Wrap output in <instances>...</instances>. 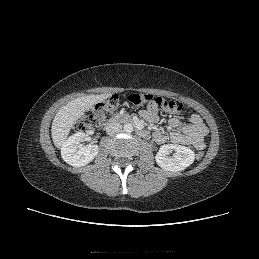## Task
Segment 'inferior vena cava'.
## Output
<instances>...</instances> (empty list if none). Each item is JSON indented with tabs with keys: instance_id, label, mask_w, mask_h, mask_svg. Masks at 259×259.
Masks as SVG:
<instances>
[{
	"instance_id": "obj_1",
	"label": "inferior vena cava",
	"mask_w": 259,
	"mask_h": 259,
	"mask_svg": "<svg viewBox=\"0 0 259 259\" xmlns=\"http://www.w3.org/2000/svg\"><path fill=\"white\" fill-rule=\"evenodd\" d=\"M122 129V125L118 122H111L106 126V133L108 135H114L120 132Z\"/></svg>"
}]
</instances>
